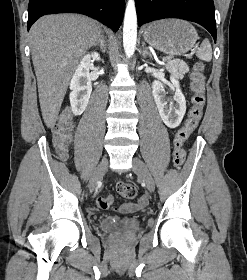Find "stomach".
Wrapping results in <instances>:
<instances>
[{
    "mask_svg": "<svg viewBox=\"0 0 247 280\" xmlns=\"http://www.w3.org/2000/svg\"><path fill=\"white\" fill-rule=\"evenodd\" d=\"M144 40L167 55H180L191 50L198 34L195 28L181 19H165L150 23L143 30Z\"/></svg>",
    "mask_w": 247,
    "mask_h": 280,
    "instance_id": "stomach-1",
    "label": "stomach"
}]
</instances>
